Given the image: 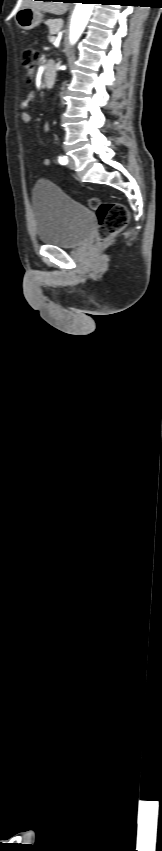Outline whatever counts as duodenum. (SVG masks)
<instances>
[{"label": "duodenum", "mask_w": 162, "mask_h": 851, "mask_svg": "<svg viewBox=\"0 0 162 851\" xmlns=\"http://www.w3.org/2000/svg\"><path fill=\"white\" fill-rule=\"evenodd\" d=\"M55 79V70L51 62L46 63L43 74V84L45 87L53 85Z\"/></svg>", "instance_id": "obj_1"}]
</instances>
